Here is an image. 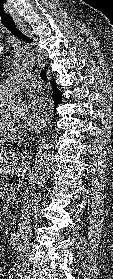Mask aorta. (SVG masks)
Segmentation results:
<instances>
[{
	"mask_svg": "<svg viewBox=\"0 0 113 279\" xmlns=\"http://www.w3.org/2000/svg\"><path fill=\"white\" fill-rule=\"evenodd\" d=\"M33 60L30 54H19L15 57L13 67L25 70L31 67ZM53 169V148L48 141H42L36 154L34 180L38 188L43 187Z\"/></svg>",
	"mask_w": 113,
	"mask_h": 279,
	"instance_id": "762f6f07",
	"label": "aorta"
}]
</instances>
